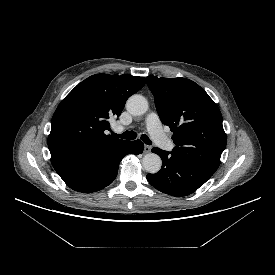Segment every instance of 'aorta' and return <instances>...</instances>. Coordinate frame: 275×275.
I'll return each mask as SVG.
<instances>
[{"label":"aorta","mask_w":275,"mask_h":275,"mask_svg":"<svg viewBox=\"0 0 275 275\" xmlns=\"http://www.w3.org/2000/svg\"><path fill=\"white\" fill-rule=\"evenodd\" d=\"M126 109L132 115H142L148 110V102L141 95H132L126 102ZM144 169L151 174L157 173L162 166V161L159 155L148 153L142 159Z\"/></svg>","instance_id":"obj_1"}]
</instances>
